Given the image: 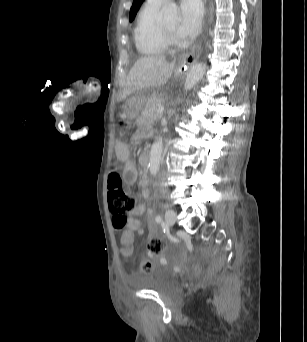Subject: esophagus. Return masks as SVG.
I'll return each mask as SVG.
<instances>
[{
  "mask_svg": "<svg viewBox=\"0 0 307 342\" xmlns=\"http://www.w3.org/2000/svg\"><path fill=\"white\" fill-rule=\"evenodd\" d=\"M200 54L201 46L198 45L193 51L183 57V61L187 64L195 63L199 59Z\"/></svg>",
  "mask_w": 307,
  "mask_h": 342,
  "instance_id": "esophagus-1",
  "label": "esophagus"
}]
</instances>
